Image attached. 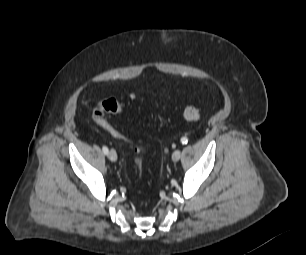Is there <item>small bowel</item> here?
<instances>
[{
    "label": "small bowel",
    "mask_w": 306,
    "mask_h": 255,
    "mask_svg": "<svg viewBox=\"0 0 306 255\" xmlns=\"http://www.w3.org/2000/svg\"><path fill=\"white\" fill-rule=\"evenodd\" d=\"M129 97H130L131 99H137V98H138L137 95L134 94V93H130V94H129Z\"/></svg>",
    "instance_id": "1"
}]
</instances>
